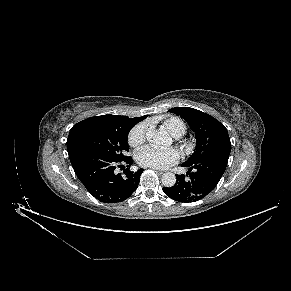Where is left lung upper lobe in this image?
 I'll list each match as a JSON object with an SVG mask.
<instances>
[{
	"instance_id": "left-lung-upper-lobe-1",
	"label": "left lung upper lobe",
	"mask_w": 291,
	"mask_h": 291,
	"mask_svg": "<svg viewBox=\"0 0 291 291\" xmlns=\"http://www.w3.org/2000/svg\"><path fill=\"white\" fill-rule=\"evenodd\" d=\"M169 111L182 117L195 132L194 153L184 164H193L209 158H229L231 142L228 131L217 119L190 107H176Z\"/></svg>"
}]
</instances>
